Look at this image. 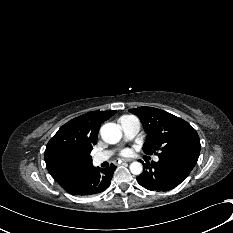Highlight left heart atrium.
<instances>
[{"instance_id": "1", "label": "left heart atrium", "mask_w": 233, "mask_h": 233, "mask_svg": "<svg viewBox=\"0 0 233 233\" xmlns=\"http://www.w3.org/2000/svg\"><path fill=\"white\" fill-rule=\"evenodd\" d=\"M131 154H132V151L130 149H125L121 152V155L125 157L130 156Z\"/></svg>"}]
</instances>
